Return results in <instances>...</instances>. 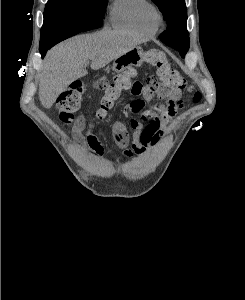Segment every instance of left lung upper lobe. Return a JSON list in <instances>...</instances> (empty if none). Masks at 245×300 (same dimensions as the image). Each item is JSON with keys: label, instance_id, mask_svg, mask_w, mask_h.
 <instances>
[{"label": "left lung upper lobe", "instance_id": "5c2ea615", "mask_svg": "<svg viewBox=\"0 0 245 300\" xmlns=\"http://www.w3.org/2000/svg\"><path fill=\"white\" fill-rule=\"evenodd\" d=\"M162 12L167 21V29L160 34L159 39L166 45L181 51L189 49V33L186 28L187 9L185 0H152ZM181 54V51L178 50ZM182 57H184L181 54Z\"/></svg>", "mask_w": 245, "mask_h": 300}]
</instances>
